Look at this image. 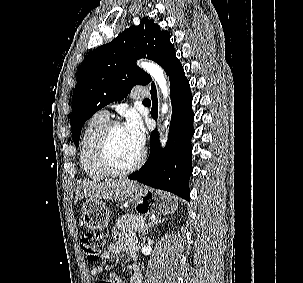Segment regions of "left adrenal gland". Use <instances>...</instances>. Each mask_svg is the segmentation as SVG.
I'll use <instances>...</instances> for the list:
<instances>
[{
    "label": "left adrenal gland",
    "mask_w": 303,
    "mask_h": 283,
    "mask_svg": "<svg viewBox=\"0 0 303 283\" xmlns=\"http://www.w3.org/2000/svg\"><path fill=\"white\" fill-rule=\"evenodd\" d=\"M162 220L161 219H158V218H155L153 220H151L150 223H148L147 227L142 231V236H143V240L145 241L146 239V234L148 232V230L155 224H158L160 223Z\"/></svg>",
    "instance_id": "a2214340"
}]
</instances>
